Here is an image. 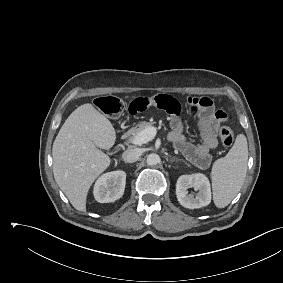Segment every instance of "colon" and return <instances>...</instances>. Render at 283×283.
I'll list each match as a JSON object with an SVG mask.
<instances>
[{
	"instance_id": "1",
	"label": "colon",
	"mask_w": 283,
	"mask_h": 283,
	"mask_svg": "<svg viewBox=\"0 0 283 283\" xmlns=\"http://www.w3.org/2000/svg\"><path fill=\"white\" fill-rule=\"evenodd\" d=\"M130 103L112 97L105 96L99 97L95 100L96 107L105 115L110 117L120 116L126 109H128ZM219 136L221 142L225 146H231L234 142V132L227 126H221L219 128Z\"/></svg>"
}]
</instances>
